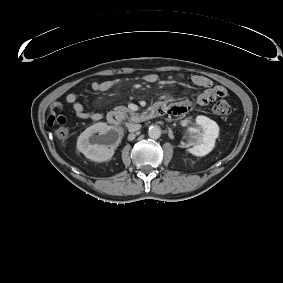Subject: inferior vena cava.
Masks as SVG:
<instances>
[{
  "mask_svg": "<svg viewBox=\"0 0 283 283\" xmlns=\"http://www.w3.org/2000/svg\"><path fill=\"white\" fill-rule=\"evenodd\" d=\"M127 128L129 132H135L141 128V125L136 123H129L127 125Z\"/></svg>",
  "mask_w": 283,
  "mask_h": 283,
  "instance_id": "1",
  "label": "inferior vena cava"
}]
</instances>
